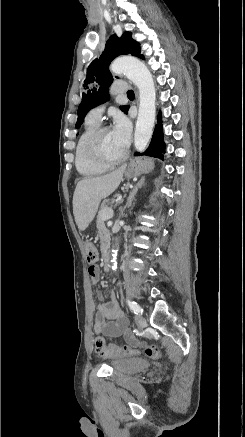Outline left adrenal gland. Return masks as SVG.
<instances>
[{
	"instance_id": "a2214340",
	"label": "left adrenal gland",
	"mask_w": 245,
	"mask_h": 437,
	"mask_svg": "<svg viewBox=\"0 0 245 437\" xmlns=\"http://www.w3.org/2000/svg\"><path fill=\"white\" fill-rule=\"evenodd\" d=\"M144 185V177H141V179L137 182V184L132 188L128 199L126 203V207L129 208L132 206V202L135 200V196L138 192V189L141 188Z\"/></svg>"
}]
</instances>
